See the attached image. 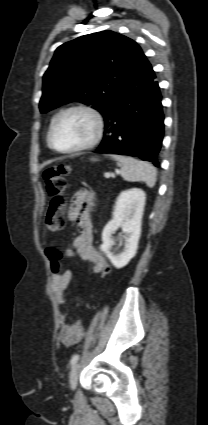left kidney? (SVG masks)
I'll return each mask as SVG.
<instances>
[{
    "instance_id": "5707ae66",
    "label": "left kidney",
    "mask_w": 208,
    "mask_h": 425,
    "mask_svg": "<svg viewBox=\"0 0 208 425\" xmlns=\"http://www.w3.org/2000/svg\"><path fill=\"white\" fill-rule=\"evenodd\" d=\"M146 194L143 190L132 188L122 191L115 202L112 220L102 232L103 244L100 246L115 268L121 269L136 255L141 234V221L144 211ZM122 228L124 236V251L120 254L112 252V234Z\"/></svg>"
}]
</instances>
